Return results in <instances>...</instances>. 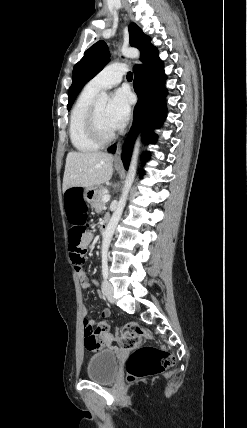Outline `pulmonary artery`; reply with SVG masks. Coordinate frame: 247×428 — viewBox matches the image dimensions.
Instances as JSON below:
<instances>
[{"label": "pulmonary artery", "mask_w": 247, "mask_h": 428, "mask_svg": "<svg viewBox=\"0 0 247 428\" xmlns=\"http://www.w3.org/2000/svg\"><path fill=\"white\" fill-rule=\"evenodd\" d=\"M126 66L123 64H113L103 69L93 79H91L87 87L97 92L109 89L117 85L123 75L126 73Z\"/></svg>", "instance_id": "obj_1"}]
</instances>
